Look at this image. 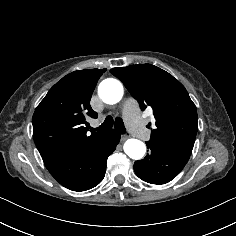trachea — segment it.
<instances>
[{
  "label": "trachea",
  "mask_w": 236,
  "mask_h": 236,
  "mask_svg": "<svg viewBox=\"0 0 236 236\" xmlns=\"http://www.w3.org/2000/svg\"><path fill=\"white\" fill-rule=\"evenodd\" d=\"M115 127L117 131L120 133H125V126L121 118H116L115 121L111 116L106 117L104 122L97 128H92V132H95L96 130H109L112 127Z\"/></svg>",
  "instance_id": "3493384b"
}]
</instances>
